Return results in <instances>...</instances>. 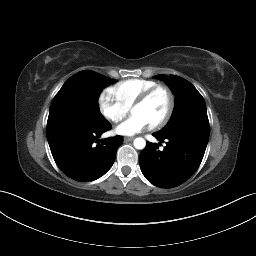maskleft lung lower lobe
<instances>
[{
    "label": "left lung lower lobe",
    "mask_w": 256,
    "mask_h": 256,
    "mask_svg": "<svg viewBox=\"0 0 256 256\" xmlns=\"http://www.w3.org/2000/svg\"><path fill=\"white\" fill-rule=\"evenodd\" d=\"M153 136L161 143L166 140L163 151L158 145L147 142L139 162L146 179L161 188H173L188 180L198 169L208 143V138L183 131L171 135Z\"/></svg>",
    "instance_id": "1"
}]
</instances>
